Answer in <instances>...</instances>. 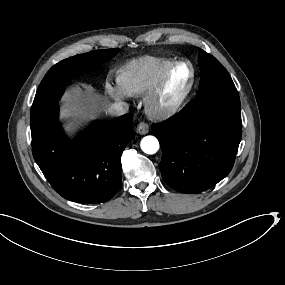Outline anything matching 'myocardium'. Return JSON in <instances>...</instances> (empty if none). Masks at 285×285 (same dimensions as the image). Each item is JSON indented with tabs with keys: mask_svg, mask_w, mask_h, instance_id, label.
Wrapping results in <instances>:
<instances>
[{
	"mask_svg": "<svg viewBox=\"0 0 285 285\" xmlns=\"http://www.w3.org/2000/svg\"><path fill=\"white\" fill-rule=\"evenodd\" d=\"M176 74H179V70L174 67H170L161 76L158 82L144 94L143 107L146 113L155 118L163 119L175 114L184 105L191 93L194 83V74L192 70L189 72V80L179 98L172 104L160 107L156 106L157 98L162 94L170 79Z\"/></svg>",
	"mask_w": 285,
	"mask_h": 285,
	"instance_id": "1",
	"label": "myocardium"
}]
</instances>
